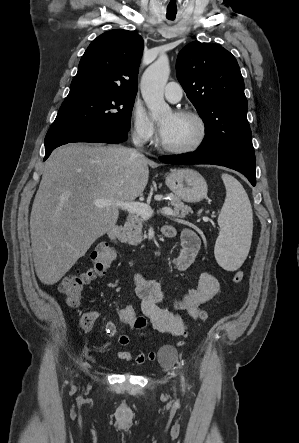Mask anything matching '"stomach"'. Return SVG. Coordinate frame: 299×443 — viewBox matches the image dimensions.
Masks as SVG:
<instances>
[{
	"label": "stomach",
	"instance_id": "1",
	"mask_svg": "<svg viewBox=\"0 0 299 443\" xmlns=\"http://www.w3.org/2000/svg\"><path fill=\"white\" fill-rule=\"evenodd\" d=\"M165 182L178 198L189 203L201 201L208 192L203 176L190 168L173 170Z\"/></svg>",
	"mask_w": 299,
	"mask_h": 443
}]
</instances>
